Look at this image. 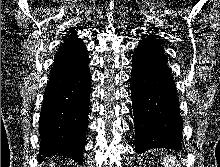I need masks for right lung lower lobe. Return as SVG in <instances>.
<instances>
[{
	"label": "right lung lower lobe",
	"mask_w": 220,
	"mask_h": 167,
	"mask_svg": "<svg viewBox=\"0 0 220 167\" xmlns=\"http://www.w3.org/2000/svg\"><path fill=\"white\" fill-rule=\"evenodd\" d=\"M88 63L50 76L39 121L40 162L63 155L82 163L91 92Z\"/></svg>",
	"instance_id": "obj_1"
}]
</instances>
